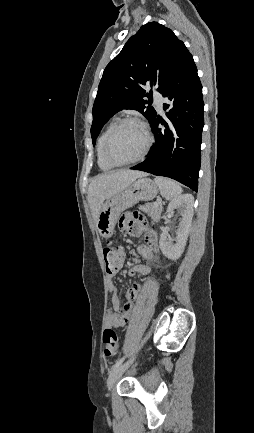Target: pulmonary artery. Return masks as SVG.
<instances>
[{
  "instance_id": "e3ab8cb5",
  "label": "pulmonary artery",
  "mask_w": 254,
  "mask_h": 433,
  "mask_svg": "<svg viewBox=\"0 0 254 433\" xmlns=\"http://www.w3.org/2000/svg\"><path fill=\"white\" fill-rule=\"evenodd\" d=\"M154 100H155V104H156V107H157V109L158 110H162V108H163V101H164V98H163V96L159 93V92H157V91H154Z\"/></svg>"
}]
</instances>
